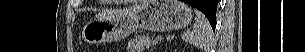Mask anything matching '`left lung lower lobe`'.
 <instances>
[{
  "label": "left lung lower lobe",
  "instance_id": "obj_1",
  "mask_svg": "<svg viewBox=\"0 0 305 52\" xmlns=\"http://www.w3.org/2000/svg\"><path fill=\"white\" fill-rule=\"evenodd\" d=\"M183 2L188 3L197 9H199L201 12L204 13V10H216L218 0H183ZM212 29H215V24L211 25Z\"/></svg>",
  "mask_w": 305,
  "mask_h": 52
}]
</instances>
